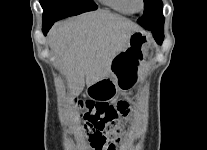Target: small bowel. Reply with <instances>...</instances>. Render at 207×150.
<instances>
[{
  "mask_svg": "<svg viewBox=\"0 0 207 150\" xmlns=\"http://www.w3.org/2000/svg\"><path fill=\"white\" fill-rule=\"evenodd\" d=\"M90 140H91V143H92V138H90ZM92 147H93V145H92ZM94 148V147H93Z\"/></svg>",
  "mask_w": 207,
  "mask_h": 150,
  "instance_id": "obj_1",
  "label": "small bowel"
}]
</instances>
